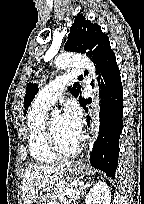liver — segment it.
Masks as SVG:
<instances>
[{"label":"liver","instance_id":"6515ba94","mask_svg":"<svg viewBox=\"0 0 144 204\" xmlns=\"http://www.w3.org/2000/svg\"><path fill=\"white\" fill-rule=\"evenodd\" d=\"M71 162L47 164H29L22 181L24 204H32L39 191L47 186L55 185L62 180Z\"/></svg>","mask_w":144,"mask_h":204}]
</instances>
